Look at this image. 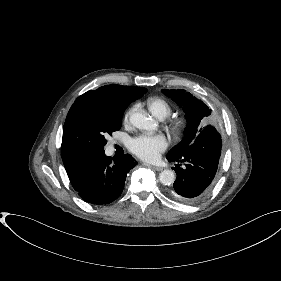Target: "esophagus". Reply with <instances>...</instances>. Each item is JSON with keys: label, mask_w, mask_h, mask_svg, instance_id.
<instances>
[{"label": "esophagus", "mask_w": 281, "mask_h": 281, "mask_svg": "<svg viewBox=\"0 0 281 281\" xmlns=\"http://www.w3.org/2000/svg\"><path fill=\"white\" fill-rule=\"evenodd\" d=\"M152 169L156 170V171H162L163 168L159 167V166H150Z\"/></svg>", "instance_id": "34e87169"}]
</instances>
